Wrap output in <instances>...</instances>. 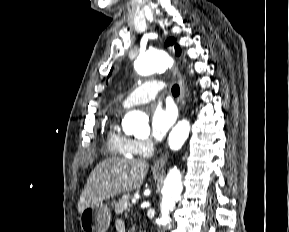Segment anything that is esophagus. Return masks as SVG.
I'll return each mask as SVG.
<instances>
[{
    "instance_id": "34e87169",
    "label": "esophagus",
    "mask_w": 289,
    "mask_h": 232,
    "mask_svg": "<svg viewBox=\"0 0 289 232\" xmlns=\"http://www.w3.org/2000/svg\"><path fill=\"white\" fill-rule=\"evenodd\" d=\"M173 72V76L175 78V80L177 81V83L179 84V87H180V96H179V113L182 112L183 110V107L185 105V98H186V90H185V85H184V80L181 76V74L179 73V71L176 69V68H173L172 70ZM168 156H169V153L168 151L162 155L154 164L153 168L155 170H160V169H163L167 160H168Z\"/></svg>"
}]
</instances>
